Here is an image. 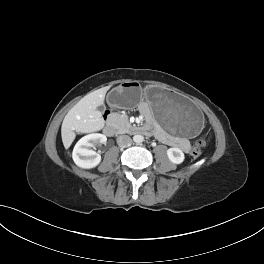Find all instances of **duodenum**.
Wrapping results in <instances>:
<instances>
[{"label": "duodenum", "mask_w": 264, "mask_h": 264, "mask_svg": "<svg viewBox=\"0 0 264 264\" xmlns=\"http://www.w3.org/2000/svg\"><path fill=\"white\" fill-rule=\"evenodd\" d=\"M116 127L112 121L107 120L104 126V132L108 136H113L116 134ZM127 131L131 134H144L149 133V129L147 127H137V126H130Z\"/></svg>", "instance_id": "duodenum-1"}]
</instances>
